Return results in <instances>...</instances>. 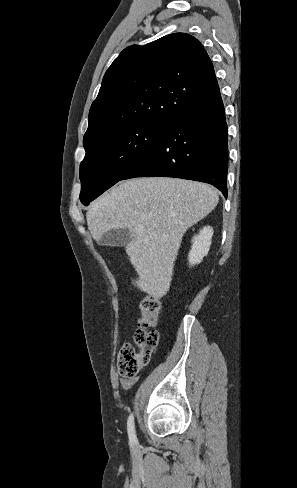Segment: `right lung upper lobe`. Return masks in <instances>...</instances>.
<instances>
[{
    "mask_svg": "<svg viewBox=\"0 0 297 488\" xmlns=\"http://www.w3.org/2000/svg\"><path fill=\"white\" fill-rule=\"evenodd\" d=\"M219 94L212 62L195 37L174 33L129 46L104 75L90 108L84 148L132 124L172 122Z\"/></svg>",
    "mask_w": 297,
    "mask_h": 488,
    "instance_id": "obj_1",
    "label": "right lung upper lobe"
}]
</instances>
